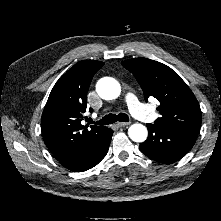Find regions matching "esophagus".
<instances>
[{
	"label": "esophagus",
	"instance_id": "obj_1",
	"mask_svg": "<svg viewBox=\"0 0 221 221\" xmlns=\"http://www.w3.org/2000/svg\"><path fill=\"white\" fill-rule=\"evenodd\" d=\"M130 124V122H118L117 123V126L119 127H125V126H128Z\"/></svg>",
	"mask_w": 221,
	"mask_h": 221
}]
</instances>
